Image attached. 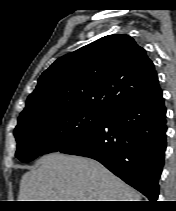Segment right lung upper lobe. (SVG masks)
I'll return each instance as SVG.
<instances>
[{
  "label": "right lung upper lobe",
  "instance_id": "1",
  "mask_svg": "<svg viewBox=\"0 0 176 211\" xmlns=\"http://www.w3.org/2000/svg\"><path fill=\"white\" fill-rule=\"evenodd\" d=\"M159 88L145 50L128 35H108L57 59L40 76L19 118L67 108L108 114Z\"/></svg>",
  "mask_w": 176,
  "mask_h": 211
}]
</instances>
